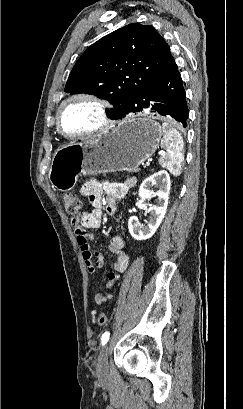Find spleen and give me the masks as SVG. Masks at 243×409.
<instances>
[{
    "label": "spleen",
    "mask_w": 243,
    "mask_h": 409,
    "mask_svg": "<svg viewBox=\"0 0 243 409\" xmlns=\"http://www.w3.org/2000/svg\"><path fill=\"white\" fill-rule=\"evenodd\" d=\"M163 139L161 146L166 150L161 154L159 164L169 170L174 176H179L182 172L184 161V142L181 134L170 123L162 124Z\"/></svg>",
    "instance_id": "obj_1"
}]
</instances>
